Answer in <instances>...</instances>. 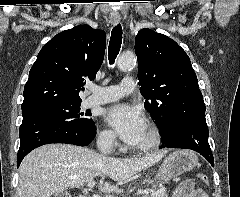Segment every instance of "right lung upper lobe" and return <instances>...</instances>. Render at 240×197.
<instances>
[{
    "label": "right lung upper lobe",
    "mask_w": 240,
    "mask_h": 197,
    "mask_svg": "<svg viewBox=\"0 0 240 197\" xmlns=\"http://www.w3.org/2000/svg\"><path fill=\"white\" fill-rule=\"evenodd\" d=\"M106 48V34L79 25L53 37L40 50L24 87L21 109L51 102H81L86 79L94 80Z\"/></svg>",
    "instance_id": "right-lung-upper-lobe-1"
}]
</instances>
